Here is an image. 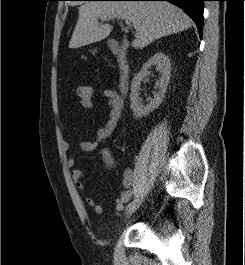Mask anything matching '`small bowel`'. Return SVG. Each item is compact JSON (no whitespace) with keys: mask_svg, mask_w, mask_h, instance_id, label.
Listing matches in <instances>:
<instances>
[{"mask_svg":"<svg viewBox=\"0 0 245 265\" xmlns=\"http://www.w3.org/2000/svg\"><path fill=\"white\" fill-rule=\"evenodd\" d=\"M106 99V103L109 109L108 119L106 123L97 130L96 136L93 141L84 140L80 142V149L83 152H92L97 145L104 143L114 132L120 120L122 119L124 110V100L122 96L113 89H106L103 92ZM85 109L91 110L94 108V102L91 101L87 104H82ZM63 149L68 152L71 150V144L67 141L62 144ZM101 157L107 167L113 168L115 161L111 151L107 148L101 151ZM75 158L73 155H69L67 159V165L72 168L71 177L75 183L78 190L84 191L85 186L83 183V178L85 176V171L82 168H75ZM133 183H134V172L132 169H126L123 173L122 186L124 190L121 192L119 197L116 199L115 203L125 204L127 203L133 195ZM85 202L88 206L92 207L94 212L101 214L103 208L101 205L97 204L96 201L91 197H86Z\"/></svg>","mask_w":245,"mask_h":265,"instance_id":"1","label":"small bowel"}]
</instances>
